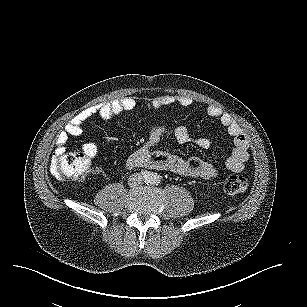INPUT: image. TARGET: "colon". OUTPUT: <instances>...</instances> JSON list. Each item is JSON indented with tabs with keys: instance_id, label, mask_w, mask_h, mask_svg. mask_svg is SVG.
<instances>
[{
	"instance_id": "5ec220e1",
	"label": "colon",
	"mask_w": 307,
	"mask_h": 307,
	"mask_svg": "<svg viewBox=\"0 0 307 307\" xmlns=\"http://www.w3.org/2000/svg\"><path fill=\"white\" fill-rule=\"evenodd\" d=\"M51 172L60 179L81 181L94 173V169L88 157L80 151H72L61 155H54L51 161ZM223 188L230 195L245 192L248 181L245 177L237 174L227 176Z\"/></svg>"
}]
</instances>
